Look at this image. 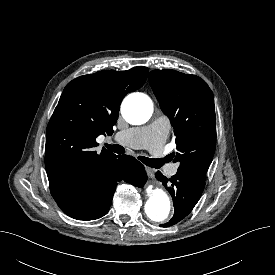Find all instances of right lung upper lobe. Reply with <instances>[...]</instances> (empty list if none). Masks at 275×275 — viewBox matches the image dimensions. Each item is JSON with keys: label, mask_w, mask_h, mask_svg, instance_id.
Wrapping results in <instances>:
<instances>
[{"label": "right lung upper lobe", "mask_w": 275, "mask_h": 275, "mask_svg": "<svg viewBox=\"0 0 275 275\" xmlns=\"http://www.w3.org/2000/svg\"><path fill=\"white\" fill-rule=\"evenodd\" d=\"M148 71L142 66L100 71L64 88L47 126L45 146L50 191L58 206L67 204L86 178L116 157L104 148L97 154L96 138L113 133L123 97L144 85Z\"/></svg>", "instance_id": "1"}]
</instances>
